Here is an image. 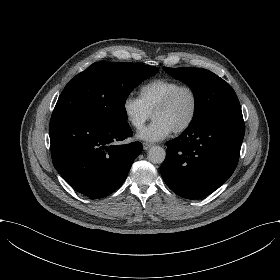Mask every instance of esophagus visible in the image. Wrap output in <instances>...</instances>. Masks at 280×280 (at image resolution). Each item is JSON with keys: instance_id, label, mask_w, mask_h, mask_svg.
<instances>
[{"instance_id": "obj_1", "label": "esophagus", "mask_w": 280, "mask_h": 280, "mask_svg": "<svg viewBox=\"0 0 280 280\" xmlns=\"http://www.w3.org/2000/svg\"><path fill=\"white\" fill-rule=\"evenodd\" d=\"M151 146H152L151 143L143 142V149H144V150H148Z\"/></svg>"}]
</instances>
